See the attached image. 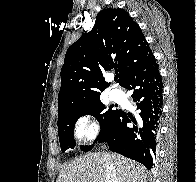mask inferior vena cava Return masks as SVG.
I'll return each mask as SVG.
<instances>
[{
    "label": "inferior vena cava",
    "instance_id": "602c4592",
    "mask_svg": "<svg viewBox=\"0 0 196 182\" xmlns=\"http://www.w3.org/2000/svg\"><path fill=\"white\" fill-rule=\"evenodd\" d=\"M105 177L106 182H118L115 168L113 164L109 161H106L105 163Z\"/></svg>",
    "mask_w": 196,
    "mask_h": 182
}]
</instances>
